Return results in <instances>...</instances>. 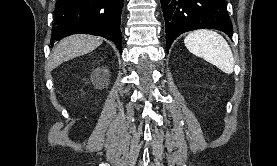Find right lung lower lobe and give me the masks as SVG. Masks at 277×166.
<instances>
[{
    "mask_svg": "<svg viewBox=\"0 0 277 166\" xmlns=\"http://www.w3.org/2000/svg\"><path fill=\"white\" fill-rule=\"evenodd\" d=\"M123 1L57 0L52 45L54 41L68 35L83 33L111 40L121 52L120 19Z\"/></svg>",
    "mask_w": 277,
    "mask_h": 166,
    "instance_id": "right-lung-lower-lobe-1",
    "label": "right lung lower lobe"
}]
</instances>
